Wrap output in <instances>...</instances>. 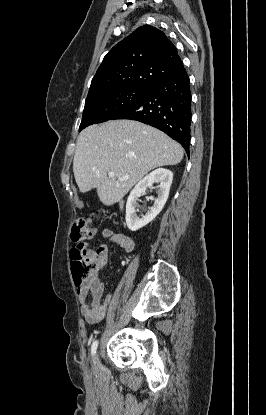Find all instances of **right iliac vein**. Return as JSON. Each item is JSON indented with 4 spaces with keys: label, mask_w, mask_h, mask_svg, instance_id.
Listing matches in <instances>:
<instances>
[{
    "label": "right iliac vein",
    "mask_w": 266,
    "mask_h": 415,
    "mask_svg": "<svg viewBox=\"0 0 266 415\" xmlns=\"http://www.w3.org/2000/svg\"><path fill=\"white\" fill-rule=\"evenodd\" d=\"M94 369H95V371H98L100 369V361H99V355L98 354L94 358Z\"/></svg>",
    "instance_id": "right-iliac-vein-1"
}]
</instances>
